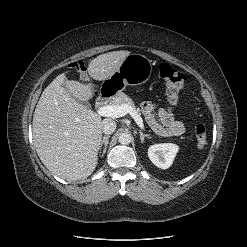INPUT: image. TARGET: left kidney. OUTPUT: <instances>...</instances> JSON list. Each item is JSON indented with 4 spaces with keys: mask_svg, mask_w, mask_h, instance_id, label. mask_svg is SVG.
Wrapping results in <instances>:
<instances>
[{
    "mask_svg": "<svg viewBox=\"0 0 247 247\" xmlns=\"http://www.w3.org/2000/svg\"><path fill=\"white\" fill-rule=\"evenodd\" d=\"M179 150V147L172 143L155 144L149 147L148 156L151 162L161 169L169 168Z\"/></svg>",
    "mask_w": 247,
    "mask_h": 247,
    "instance_id": "obj_1",
    "label": "left kidney"
}]
</instances>
